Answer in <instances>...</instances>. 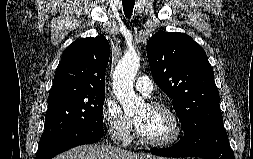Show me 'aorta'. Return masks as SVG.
<instances>
[{"instance_id":"762f6f07","label":"aorta","mask_w":253,"mask_h":159,"mask_svg":"<svg viewBox=\"0 0 253 159\" xmlns=\"http://www.w3.org/2000/svg\"><path fill=\"white\" fill-rule=\"evenodd\" d=\"M140 58L135 51H128L119 61L113 74V91L125 114H134L144 106V100L134 92V81Z\"/></svg>"}]
</instances>
